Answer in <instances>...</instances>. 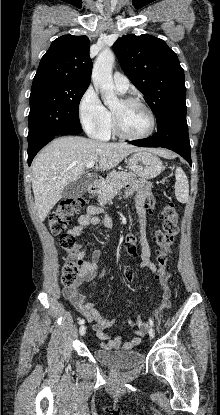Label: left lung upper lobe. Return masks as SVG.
I'll use <instances>...</instances> for the list:
<instances>
[{
    "mask_svg": "<svg viewBox=\"0 0 220 415\" xmlns=\"http://www.w3.org/2000/svg\"><path fill=\"white\" fill-rule=\"evenodd\" d=\"M113 50L126 76L145 96L157 125L186 110L184 70L165 41L148 34H128L117 39Z\"/></svg>",
    "mask_w": 220,
    "mask_h": 415,
    "instance_id": "left-lung-upper-lobe-1",
    "label": "left lung upper lobe"
}]
</instances>
